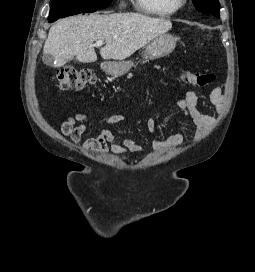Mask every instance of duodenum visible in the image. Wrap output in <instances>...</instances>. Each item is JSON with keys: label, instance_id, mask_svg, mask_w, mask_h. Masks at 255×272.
Segmentation results:
<instances>
[{"label": "duodenum", "instance_id": "obj_1", "mask_svg": "<svg viewBox=\"0 0 255 272\" xmlns=\"http://www.w3.org/2000/svg\"><path fill=\"white\" fill-rule=\"evenodd\" d=\"M104 68L107 69V66L105 65Z\"/></svg>", "mask_w": 255, "mask_h": 272}]
</instances>
